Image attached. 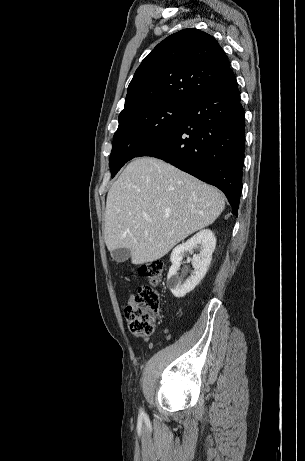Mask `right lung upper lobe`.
<instances>
[{
  "instance_id": "cb5924a9",
  "label": "right lung upper lobe",
  "mask_w": 305,
  "mask_h": 461,
  "mask_svg": "<svg viewBox=\"0 0 305 461\" xmlns=\"http://www.w3.org/2000/svg\"><path fill=\"white\" fill-rule=\"evenodd\" d=\"M234 76L218 42L197 29H184L159 43L131 80L119 118L145 107L189 104Z\"/></svg>"
}]
</instances>
